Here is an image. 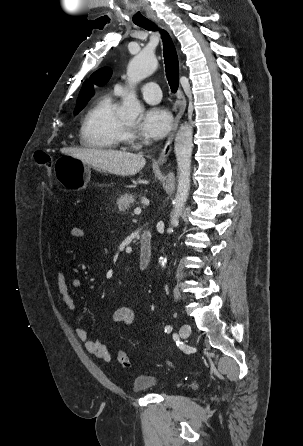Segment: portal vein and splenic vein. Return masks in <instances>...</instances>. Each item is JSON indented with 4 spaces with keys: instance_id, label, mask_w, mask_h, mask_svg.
Here are the masks:
<instances>
[{
    "instance_id": "1",
    "label": "portal vein and splenic vein",
    "mask_w": 303,
    "mask_h": 446,
    "mask_svg": "<svg viewBox=\"0 0 303 446\" xmlns=\"http://www.w3.org/2000/svg\"><path fill=\"white\" fill-rule=\"evenodd\" d=\"M134 213L136 215H139L141 213V208L140 207L135 208Z\"/></svg>"
}]
</instances>
